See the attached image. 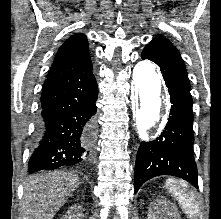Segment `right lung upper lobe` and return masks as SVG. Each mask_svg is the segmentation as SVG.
Returning <instances> with one entry per match:
<instances>
[{"instance_id":"right-lung-upper-lobe-1","label":"right lung upper lobe","mask_w":221,"mask_h":219,"mask_svg":"<svg viewBox=\"0 0 221 219\" xmlns=\"http://www.w3.org/2000/svg\"><path fill=\"white\" fill-rule=\"evenodd\" d=\"M89 57L86 36L75 34L67 39L59 48L48 77L69 71Z\"/></svg>"}]
</instances>
